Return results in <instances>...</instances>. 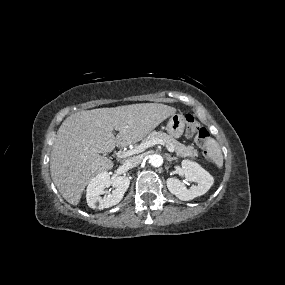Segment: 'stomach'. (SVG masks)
<instances>
[{"label": "stomach", "instance_id": "0dacf381", "mask_svg": "<svg viewBox=\"0 0 285 285\" xmlns=\"http://www.w3.org/2000/svg\"><path fill=\"white\" fill-rule=\"evenodd\" d=\"M185 128V120L182 114L171 115L166 125V131L172 138H179L182 136Z\"/></svg>", "mask_w": 285, "mask_h": 285}]
</instances>
